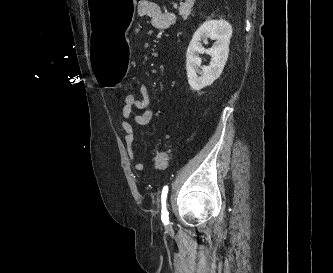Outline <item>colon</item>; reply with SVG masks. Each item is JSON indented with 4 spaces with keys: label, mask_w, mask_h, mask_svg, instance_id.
Returning a JSON list of instances; mask_svg holds the SVG:
<instances>
[{
    "label": "colon",
    "mask_w": 333,
    "mask_h": 273,
    "mask_svg": "<svg viewBox=\"0 0 333 273\" xmlns=\"http://www.w3.org/2000/svg\"><path fill=\"white\" fill-rule=\"evenodd\" d=\"M139 97L134 94H126L123 99L124 107L136 108ZM170 162V155L166 151H158L154 155V166L158 170L166 169Z\"/></svg>",
    "instance_id": "colon-1"
}]
</instances>
